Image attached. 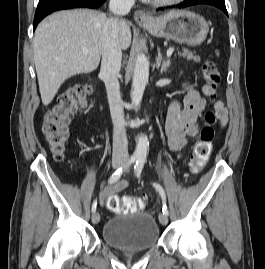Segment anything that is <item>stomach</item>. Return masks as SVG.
I'll return each instance as SVG.
<instances>
[{"instance_id":"1","label":"stomach","mask_w":265,"mask_h":269,"mask_svg":"<svg viewBox=\"0 0 265 269\" xmlns=\"http://www.w3.org/2000/svg\"><path fill=\"white\" fill-rule=\"evenodd\" d=\"M153 36L197 46L207 37L209 24L200 15L188 10H173L155 17L150 24H141Z\"/></svg>"}]
</instances>
